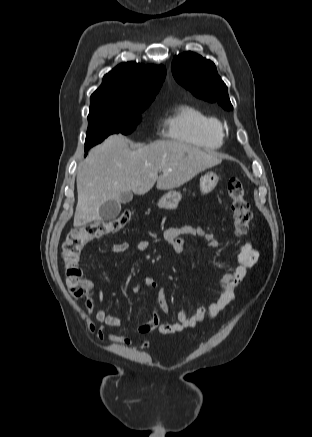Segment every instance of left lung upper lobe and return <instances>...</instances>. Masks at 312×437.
I'll use <instances>...</instances> for the list:
<instances>
[{
	"label": "left lung upper lobe",
	"instance_id": "obj_1",
	"mask_svg": "<svg viewBox=\"0 0 312 437\" xmlns=\"http://www.w3.org/2000/svg\"><path fill=\"white\" fill-rule=\"evenodd\" d=\"M171 67L176 81L193 95L209 102H217L226 110L233 109L227 86L212 61L196 53L185 52L174 57Z\"/></svg>",
	"mask_w": 312,
	"mask_h": 437
}]
</instances>
